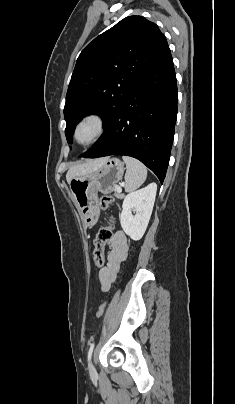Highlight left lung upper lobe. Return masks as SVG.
Segmentation results:
<instances>
[{
    "label": "left lung upper lobe",
    "mask_w": 235,
    "mask_h": 404,
    "mask_svg": "<svg viewBox=\"0 0 235 404\" xmlns=\"http://www.w3.org/2000/svg\"><path fill=\"white\" fill-rule=\"evenodd\" d=\"M168 49L158 26L129 16L89 43L80 53L69 83L64 118L69 143L76 124L88 113L108 125L135 84Z\"/></svg>",
    "instance_id": "5c2ea615"
}]
</instances>
